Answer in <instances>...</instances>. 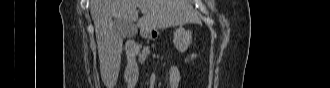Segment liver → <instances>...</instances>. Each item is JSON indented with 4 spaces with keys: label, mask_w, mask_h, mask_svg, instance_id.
I'll return each instance as SVG.
<instances>
[{
    "label": "liver",
    "mask_w": 330,
    "mask_h": 88,
    "mask_svg": "<svg viewBox=\"0 0 330 88\" xmlns=\"http://www.w3.org/2000/svg\"><path fill=\"white\" fill-rule=\"evenodd\" d=\"M137 7L143 16L138 19ZM90 12L94 21L101 78L107 88L117 83L123 37L115 21L134 23L141 35L199 21L189 0H91ZM114 18V20H113Z\"/></svg>",
    "instance_id": "liver-1"
}]
</instances>
